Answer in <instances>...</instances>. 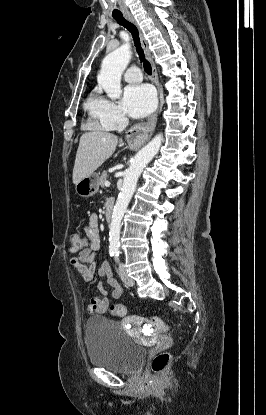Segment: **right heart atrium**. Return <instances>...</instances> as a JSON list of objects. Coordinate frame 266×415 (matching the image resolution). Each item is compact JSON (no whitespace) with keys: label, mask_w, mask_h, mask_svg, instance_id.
Listing matches in <instances>:
<instances>
[{"label":"right heart atrium","mask_w":266,"mask_h":415,"mask_svg":"<svg viewBox=\"0 0 266 415\" xmlns=\"http://www.w3.org/2000/svg\"><path fill=\"white\" fill-rule=\"evenodd\" d=\"M91 118L103 129H114L126 122V116L116 103L97 93L88 102Z\"/></svg>","instance_id":"1"}]
</instances>
